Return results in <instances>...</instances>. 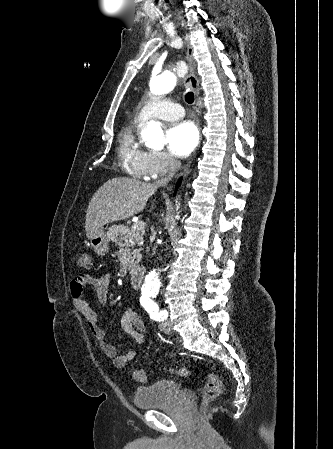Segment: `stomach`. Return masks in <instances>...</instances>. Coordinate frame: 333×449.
<instances>
[{"mask_svg": "<svg viewBox=\"0 0 333 449\" xmlns=\"http://www.w3.org/2000/svg\"><path fill=\"white\" fill-rule=\"evenodd\" d=\"M90 244L94 251L103 256L108 251V239L106 238L105 231L100 229L94 236L90 238Z\"/></svg>", "mask_w": 333, "mask_h": 449, "instance_id": "0dacf381", "label": "stomach"}]
</instances>
